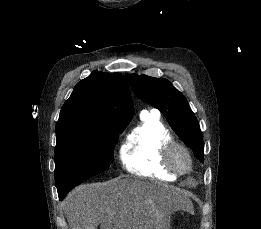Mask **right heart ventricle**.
Masks as SVG:
<instances>
[{"instance_id": "e07e8e85", "label": "right heart ventricle", "mask_w": 261, "mask_h": 229, "mask_svg": "<svg viewBox=\"0 0 261 229\" xmlns=\"http://www.w3.org/2000/svg\"><path fill=\"white\" fill-rule=\"evenodd\" d=\"M141 122L129 135L120 149L123 167L136 175L165 173L176 177L164 163V147L174 141L156 109L145 108L140 112Z\"/></svg>"}]
</instances>
